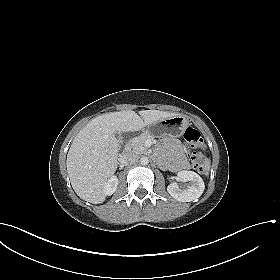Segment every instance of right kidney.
I'll return each mask as SVG.
<instances>
[{
	"mask_svg": "<svg viewBox=\"0 0 280 280\" xmlns=\"http://www.w3.org/2000/svg\"><path fill=\"white\" fill-rule=\"evenodd\" d=\"M117 186H118V178L112 175L104 185L103 191L105 196L112 195L116 191Z\"/></svg>",
	"mask_w": 280,
	"mask_h": 280,
	"instance_id": "obj_1",
	"label": "right kidney"
}]
</instances>
